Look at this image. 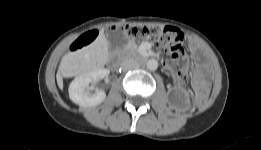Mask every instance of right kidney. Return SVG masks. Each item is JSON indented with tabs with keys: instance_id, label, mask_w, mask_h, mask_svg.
Wrapping results in <instances>:
<instances>
[{
	"instance_id": "obj_1",
	"label": "right kidney",
	"mask_w": 261,
	"mask_h": 150,
	"mask_svg": "<svg viewBox=\"0 0 261 150\" xmlns=\"http://www.w3.org/2000/svg\"><path fill=\"white\" fill-rule=\"evenodd\" d=\"M109 73L108 69L99 68L77 76L69 86L70 99L83 107L99 105L105 100L106 93L103 90H99L93 94L90 93L88 90L89 84L104 79Z\"/></svg>"
}]
</instances>
